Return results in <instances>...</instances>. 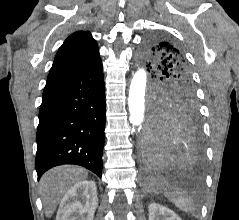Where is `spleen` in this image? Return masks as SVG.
<instances>
[{
    "label": "spleen",
    "mask_w": 239,
    "mask_h": 220,
    "mask_svg": "<svg viewBox=\"0 0 239 220\" xmlns=\"http://www.w3.org/2000/svg\"><path fill=\"white\" fill-rule=\"evenodd\" d=\"M166 196L169 198L170 201H172L176 207H178L180 210L184 212L191 211V204L188 199H186L184 196H177L174 193L166 194Z\"/></svg>",
    "instance_id": "1"
}]
</instances>
